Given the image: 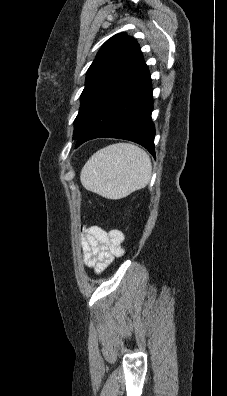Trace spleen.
Here are the masks:
<instances>
[{"label": "spleen", "instance_id": "obj_1", "mask_svg": "<svg viewBox=\"0 0 227 396\" xmlns=\"http://www.w3.org/2000/svg\"><path fill=\"white\" fill-rule=\"evenodd\" d=\"M152 173L148 154L133 144L98 150L81 170L84 188L108 199H121L147 186Z\"/></svg>", "mask_w": 227, "mask_h": 396}]
</instances>
